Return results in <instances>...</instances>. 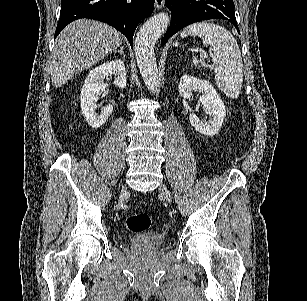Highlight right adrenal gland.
Instances as JSON below:
<instances>
[{
    "label": "right adrenal gland",
    "instance_id": "obj_1",
    "mask_svg": "<svg viewBox=\"0 0 307 301\" xmlns=\"http://www.w3.org/2000/svg\"><path fill=\"white\" fill-rule=\"evenodd\" d=\"M114 52H119V54H124L123 46H120V48H117V50H114Z\"/></svg>",
    "mask_w": 307,
    "mask_h": 301
}]
</instances>
